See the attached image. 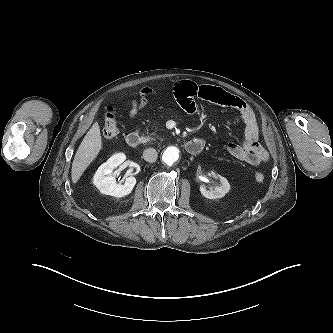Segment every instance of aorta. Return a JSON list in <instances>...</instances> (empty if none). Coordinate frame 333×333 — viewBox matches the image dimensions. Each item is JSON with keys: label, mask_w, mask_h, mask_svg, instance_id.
<instances>
[{"label": "aorta", "mask_w": 333, "mask_h": 333, "mask_svg": "<svg viewBox=\"0 0 333 333\" xmlns=\"http://www.w3.org/2000/svg\"><path fill=\"white\" fill-rule=\"evenodd\" d=\"M179 159V149L175 146L167 147L162 154V161L171 166Z\"/></svg>", "instance_id": "aorta-1"}]
</instances>
